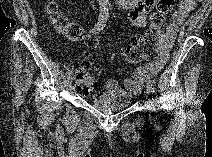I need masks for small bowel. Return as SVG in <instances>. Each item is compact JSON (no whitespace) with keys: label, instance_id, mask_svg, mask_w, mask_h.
I'll return each instance as SVG.
<instances>
[{"label":"small bowel","instance_id":"1","mask_svg":"<svg viewBox=\"0 0 212 157\" xmlns=\"http://www.w3.org/2000/svg\"><path fill=\"white\" fill-rule=\"evenodd\" d=\"M153 0H119L118 5L128 11L131 24L138 28L148 26V15L153 7ZM194 0H181L176 11L173 13L171 22L167 26L165 33L169 38L163 37L161 51L157 59L139 67L136 77H126L123 80L125 90L138 93L143 87V83L156 75L168 62L171 44L176 37L178 27L183 24L188 14L194 9ZM108 89H119L120 83L117 80H109L106 83Z\"/></svg>","mask_w":212,"mask_h":157}]
</instances>
